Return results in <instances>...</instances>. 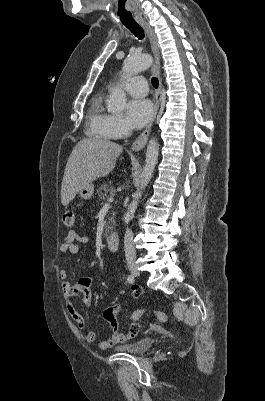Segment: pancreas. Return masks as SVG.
Returning a JSON list of instances; mask_svg holds the SVG:
<instances>
[{"instance_id": "1", "label": "pancreas", "mask_w": 265, "mask_h": 401, "mask_svg": "<svg viewBox=\"0 0 265 401\" xmlns=\"http://www.w3.org/2000/svg\"><path fill=\"white\" fill-rule=\"evenodd\" d=\"M108 192H110V194H113L114 192V188L113 186H111V182H108V184H101V186H99V188H97V194H98V198H101V201H105V196H107ZM110 215H112V217H110V219H108V223H106L104 229V237H108V233H110V231H112L113 227L112 225H110V223H115L114 221V217H115V213H110Z\"/></svg>"}]
</instances>
